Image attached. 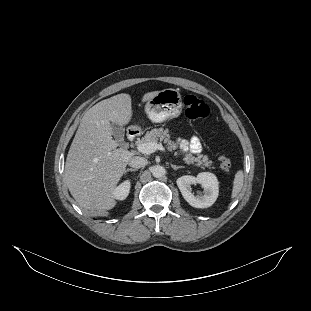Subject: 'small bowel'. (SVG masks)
I'll use <instances>...</instances> for the list:
<instances>
[{
    "instance_id": "obj_1",
    "label": "small bowel",
    "mask_w": 311,
    "mask_h": 311,
    "mask_svg": "<svg viewBox=\"0 0 311 311\" xmlns=\"http://www.w3.org/2000/svg\"><path fill=\"white\" fill-rule=\"evenodd\" d=\"M179 147L182 153L197 154L201 151V143L197 136H193L190 140H180Z\"/></svg>"
}]
</instances>
